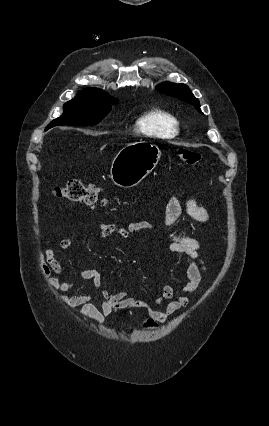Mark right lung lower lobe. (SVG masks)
I'll return each instance as SVG.
<instances>
[{
  "label": "right lung lower lobe",
  "mask_w": 269,
  "mask_h": 426,
  "mask_svg": "<svg viewBox=\"0 0 269 426\" xmlns=\"http://www.w3.org/2000/svg\"><path fill=\"white\" fill-rule=\"evenodd\" d=\"M51 127H52V126H49V125H48L46 129H49V128H51Z\"/></svg>",
  "instance_id": "obj_1"
}]
</instances>
